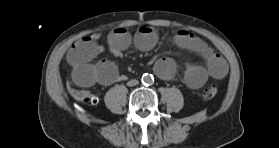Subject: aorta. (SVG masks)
<instances>
[{
	"instance_id": "aorta-1",
	"label": "aorta",
	"mask_w": 279,
	"mask_h": 148,
	"mask_svg": "<svg viewBox=\"0 0 279 148\" xmlns=\"http://www.w3.org/2000/svg\"><path fill=\"white\" fill-rule=\"evenodd\" d=\"M153 81H154V78H153V76L150 75V74H144V75L142 76V83H143V84L149 85V84H151Z\"/></svg>"
}]
</instances>
